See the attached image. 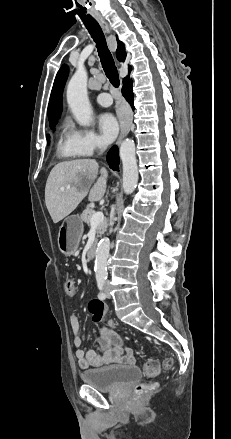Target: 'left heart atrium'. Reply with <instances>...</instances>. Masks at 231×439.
Wrapping results in <instances>:
<instances>
[{"mask_svg":"<svg viewBox=\"0 0 231 439\" xmlns=\"http://www.w3.org/2000/svg\"><path fill=\"white\" fill-rule=\"evenodd\" d=\"M98 126L103 139L107 143L112 142L119 131L118 121L110 113H105L100 116Z\"/></svg>","mask_w":231,"mask_h":439,"instance_id":"obj_1","label":"left heart atrium"}]
</instances>
